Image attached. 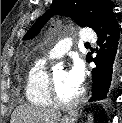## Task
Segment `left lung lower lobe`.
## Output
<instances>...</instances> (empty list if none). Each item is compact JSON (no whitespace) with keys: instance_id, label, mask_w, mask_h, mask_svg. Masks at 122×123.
Listing matches in <instances>:
<instances>
[{"instance_id":"0a47b994","label":"left lung lower lobe","mask_w":122,"mask_h":123,"mask_svg":"<svg viewBox=\"0 0 122 123\" xmlns=\"http://www.w3.org/2000/svg\"><path fill=\"white\" fill-rule=\"evenodd\" d=\"M97 35L100 51L95 58L89 55L86 59L87 62L93 61L96 64V68L92 70L93 86L90 102L112 99L122 68V37L114 14L108 18Z\"/></svg>"}]
</instances>
